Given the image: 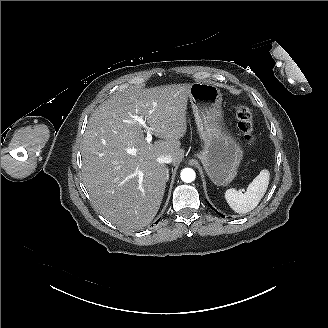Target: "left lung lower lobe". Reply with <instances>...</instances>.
<instances>
[{"label":"left lung lower lobe","instance_id":"1","mask_svg":"<svg viewBox=\"0 0 328 328\" xmlns=\"http://www.w3.org/2000/svg\"><path fill=\"white\" fill-rule=\"evenodd\" d=\"M214 210H215V209H214ZM215 211H216V210H215ZM216 212H217V211H216ZM217 213H218V212H217ZM218 214H219L221 217H223V218L225 217L224 215H222V214H220V213H218Z\"/></svg>","mask_w":328,"mask_h":328}]
</instances>
